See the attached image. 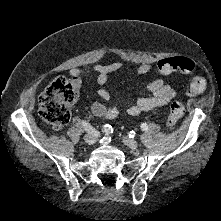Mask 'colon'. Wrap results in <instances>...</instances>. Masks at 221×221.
Masks as SVG:
<instances>
[{"mask_svg": "<svg viewBox=\"0 0 221 221\" xmlns=\"http://www.w3.org/2000/svg\"><path fill=\"white\" fill-rule=\"evenodd\" d=\"M194 62L187 57L176 56L162 59L157 63V70L162 75L174 72L191 74ZM206 88V80L200 75H192L188 87L189 95H199ZM79 97L78 88L66 78H57L41 94L39 98V115L49 126L62 130L70 120L71 106ZM184 113V106L180 102L171 105L167 119V128L172 130Z\"/></svg>", "mask_w": 221, "mask_h": 221, "instance_id": "obj_1", "label": "colon"}]
</instances>
